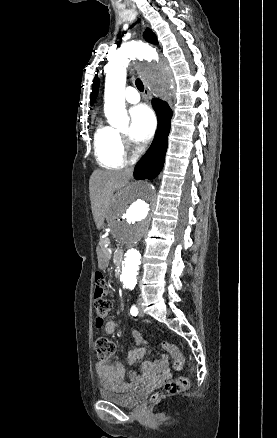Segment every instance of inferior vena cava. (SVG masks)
I'll return each instance as SVG.
<instances>
[{"label": "inferior vena cava", "mask_w": 277, "mask_h": 438, "mask_svg": "<svg viewBox=\"0 0 277 438\" xmlns=\"http://www.w3.org/2000/svg\"><path fill=\"white\" fill-rule=\"evenodd\" d=\"M133 172H134V168L133 166H131V168H126L124 174H126V176H133Z\"/></svg>", "instance_id": "602c4592"}]
</instances>
